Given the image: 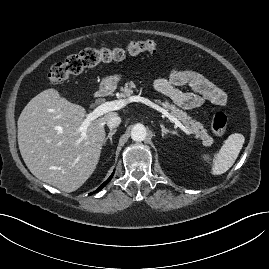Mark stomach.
Returning <instances> with one entry per match:
<instances>
[{
  "instance_id": "stomach-1",
  "label": "stomach",
  "mask_w": 269,
  "mask_h": 269,
  "mask_svg": "<svg viewBox=\"0 0 269 269\" xmlns=\"http://www.w3.org/2000/svg\"><path fill=\"white\" fill-rule=\"evenodd\" d=\"M120 79H121L120 74H114V75L107 76L100 83V91L111 92V91L115 90Z\"/></svg>"
}]
</instances>
